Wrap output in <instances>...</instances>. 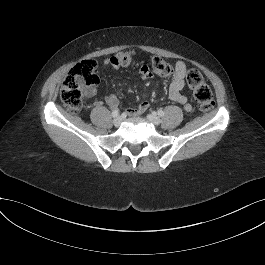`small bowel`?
Instances as JSON below:
<instances>
[{
	"label": "small bowel",
	"mask_w": 265,
	"mask_h": 265,
	"mask_svg": "<svg viewBox=\"0 0 265 265\" xmlns=\"http://www.w3.org/2000/svg\"><path fill=\"white\" fill-rule=\"evenodd\" d=\"M104 65L111 67L113 69H117L119 66L114 64L112 59H106L104 61ZM187 72V66L183 61H177L174 65V73L171 77L168 95L169 98L182 105L183 109L186 112H190L192 110L191 104L188 102L187 98L182 94L183 90L186 87L185 83V74ZM139 75L142 79L147 80L150 79L153 74L148 65L144 64L139 69ZM98 93L95 87H90L86 89L85 94L88 97H94ZM103 102L106 106L110 108H115L119 104V97L115 94L108 93L104 96ZM149 107L147 102H141L137 107L133 109H127L126 114L130 116H139L143 114Z\"/></svg>",
	"instance_id": "c3829d8e"
}]
</instances>
